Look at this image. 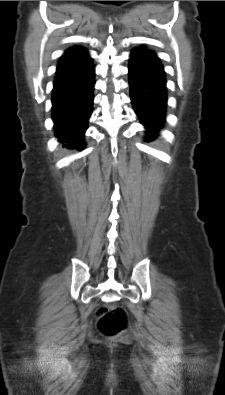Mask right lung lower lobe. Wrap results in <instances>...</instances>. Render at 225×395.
Listing matches in <instances>:
<instances>
[{
  "instance_id": "98d812e1",
  "label": "right lung lower lobe",
  "mask_w": 225,
  "mask_h": 395,
  "mask_svg": "<svg viewBox=\"0 0 225 395\" xmlns=\"http://www.w3.org/2000/svg\"><path fill=\"white\" fill-rule=\"evenodd\" d=\"M92 60L78 68L56 71L52 91V119L58 140L84 149V133L92 113L94 91Z\"/></svg>"
}]
</instances>
